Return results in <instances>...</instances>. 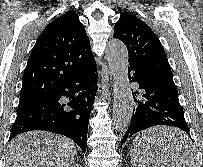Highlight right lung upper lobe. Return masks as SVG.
I'll use <instances>...</instances> for the list:
<instances>
[{
    "instance_id": "cb5924a9",
    "label": "right lung upper lobe",
    "mask_w": 203,
    "mask_h": 167,
    "mask_svg": "<svg viewBox=\"0 0 203 167\" xmlns=\"http://www.w3.org/2000/svg\"><path fill=\"white\" fill-rule=\"evenodd\" d=\"M94 61L78 15L68 11L42 31L22 77L19 106L47 99L71 75Z\"/></svg>"
}]
</instances>
